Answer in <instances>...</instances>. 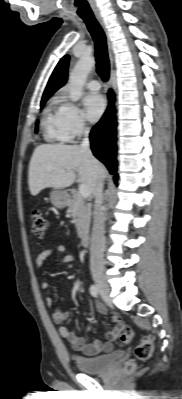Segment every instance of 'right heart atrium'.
<instances>
[{"label":"right heart atrium","instance_id":"d8ad5b80","mask_svg":"<svg viewBox=\"0 0 182 399\" xmlns=\"http://www.w3.org/2000/svg\"><path fill=\"white\" fill-rule=\"evenodd\" d=\"M63 122L69 138L81 136L88 130V124L80 108L76 105L63 103Z\"/></svg>","mask_w":182,"mask_h":399}]
</instances>
